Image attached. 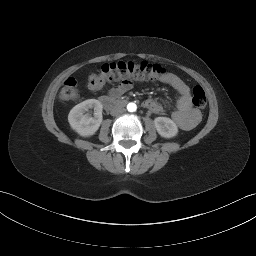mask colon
Returning <instances> with one entry per match:
<instances>
[{
  "mask_svg": "<svg viewBox=\"0 0 256 256\" xmlns=\"http://www.w3.org/2000/svg\"><path fill=\"white\" fill-rule=\"evenodd\" d=\"M165 69L159 64L146 61H115L104 64L100 71L91 72L88 85L92 90H99L106 82L118 79H159L165 75ZM79 97L78 81L74 77L65 80L59 98L62 101H75ZM192 104L197 109H204L207 105L205 91L201 86L192 90Z\"/></svg>",
  "mask_w": 256,
  "mask_h": 256,
  "instance_id": "obj_1",
  "label": "colon"
}]
</instances>
